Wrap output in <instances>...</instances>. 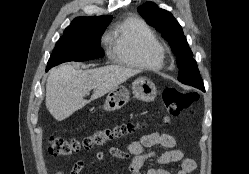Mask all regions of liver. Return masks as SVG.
<instances>
[{
    "label": "liver",
    "instance_id": "liver-1",
    "mask_svg": "<svg viewBox=\"0 0 249 174\" xmlns=\"http://www.w3.org/2000/svg\"><path fill=\"white\" fill-rule=\"evenodd\" d=\"M138 73V69L117 65L87 70L61 65L47 78L46 107L57 121H62L89 103L84 97L91 90V100L98 99Z\"/></svg>",
    "mask_w": 249,
    "mask_h": 174
}]
</instances>
